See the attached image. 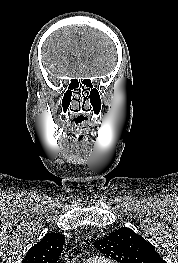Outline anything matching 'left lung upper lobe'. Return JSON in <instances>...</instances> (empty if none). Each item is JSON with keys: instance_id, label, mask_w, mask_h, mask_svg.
I'll use <instances>...</instances> for the list:
<instances>
[{"instance_id": "obj_1", "label": "left lung upper lobe", "mask_w": 178, "mask_h": 263, "mask_svg": "<svg viewBox=\"0 0 178 263\" xmlns=\"http://www.w3.org/2000/svg\"><path fill=\"white\" fill-rule=\"evenodd\" d=\"M94 246L119 263H166L151 243L125 227L94 242Z\"/></svg>"}]
</instances>
